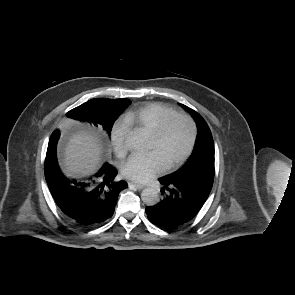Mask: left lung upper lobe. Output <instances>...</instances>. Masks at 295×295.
<instances>
[{
    "mask_svg": "<svg viewBox=\"0 0 295 295\" xmlns=\"http://www.w3.org/2000/svg\"><path fill=\"white\" fill-rule=\"evenodd\" d=\"M187 110L197 125V138L193 152L188 161L178 171L166 175L172 178L187 179L191 177H214V142L211 131L199 113L182 105Z\"/></svg>",
    "mask_w": 295,
    "mask_h": 295,
    "instance_id": "left-lung-upper-lobe-1",
    "label": "left lung upper lobe"
}]
</instances>
